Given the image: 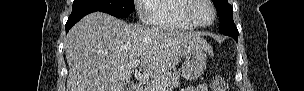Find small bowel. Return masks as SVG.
Here are the masks:
<instances>
[{
    "label": "small bowel",
    "mask_w": 304,
    "mask_h": 91,
    "mask_svg": "<svg viewBox=\"0 0 304 91\" xmlns=\"http://www.w3.org/2000/svg\"><path fill=\"white\" fill-rule=\"evenodd\" d=\"M187 90H190V91H206L207 87H206V85H198V86H195L193 88H189Z\"/></svg>",
    "instance_id": "small-bowel-1"
}]
</instances>
